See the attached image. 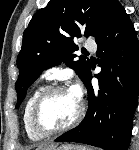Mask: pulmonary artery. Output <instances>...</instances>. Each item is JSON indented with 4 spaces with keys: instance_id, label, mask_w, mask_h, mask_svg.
<instances>
[{
    "instance_id": "obj_1",
    "label": "pulmonary artery",
    "mask_w": 139,
    "mask_h": 150,
    "mask_svg": "<svg viewBox=\"0 0 139 150\" xmlns=\"http://www.w3.org/2000/svg\"><path fill=\"white\" fill-rule=\"evenodd\" d=\"M84 46L87 50H90V51H95L97 48L96 43L91 39L86 40Z\"/></svg>"
}]
</instances>
